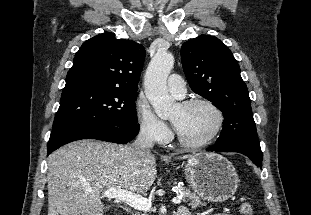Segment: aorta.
<instances>
[{"label":"aorta","mask_w":311,"mask_h":215,"mask_svg":"<svg viewBox=\"0 0 311 215\" xmlns=\"http://www.w3.org/2000/svg\"><path fill=\"white\" fill-rule=\"evenodd\" d=\"M173 65V55L166 51H160L152 58L145 74L146 97L156 115L162 119L167 118L175 106V100L168 94L166 85Z\"/></svg>","instance_id":"762f6f07"}]
</instances>
